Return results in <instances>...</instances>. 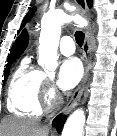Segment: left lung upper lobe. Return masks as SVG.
<instances>
[{
  "label": "left lung upper lobe",
  "mask_w": 117,
  "mask_h": 136,
  "mask_svg": "<svg viewBox=\"0 0 117 136\" xmlns=\"http://www.w3.org/2000/svg\"><path fill=\"white\" fill-rule=\"evenodd\" d=\"M87 3H88V6L91 7L92 4H93V1L92 0H87ZM35 10H36V7L29 10V12L27 13V15L25 16V18H24V20L22 22L21 28L26 24V22H28L32 18V16L34 15Z\"/></svg>",
  "instance_id": "5c2ea615"
}]
</instances>
